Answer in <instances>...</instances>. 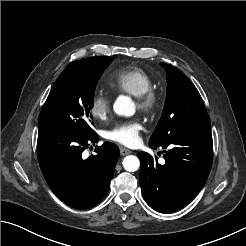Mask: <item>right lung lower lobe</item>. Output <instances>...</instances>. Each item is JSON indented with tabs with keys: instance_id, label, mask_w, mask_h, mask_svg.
<instances>
[{
	"instance_id": "98d812e1",
	"label": "right lung lower lobe",
	"mask_w": 246,
	"mask_h": 246,
	"mask_svg": "<svg viewBox=\"0 0 246 246\" xmlns=\"http://www.w3.org/2000/svg\"><path fill=\"white\" fill-rule=\"evenodd\" d=\"M98 139L96 133L39 129L37 149L41 171L52 191L72 207L91 208L109 191L120 154L118 147L105 142L96 147L95 155L82 158L86 146Z\"/></svg>"
}]
</instances>
